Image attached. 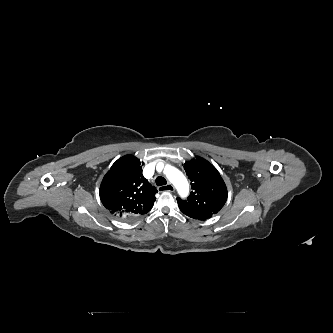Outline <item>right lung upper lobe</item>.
Segmentation results:
<instances>
[{"instance_id": "obj_1", "label": "right lung upper lobe", "mask_w": 333, "mask_h": 333, "mask_svg": "<svg viewBox=\"0 0 333 333\" xmlns=\"http://www.w3.org/2000/svg\"><path fill=\"white\" fill-rule=\"evenodd\" d=\"M157 189L142 175V165L133 155L118 159L104 176L100 199L113 215L139 216L148 213L156 200Z\"/></svg>"}]
</instances>
